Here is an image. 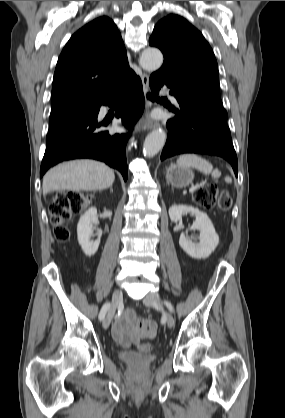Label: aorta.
<instances>
[{
  "label": "aorta",
  "instance_id": "762f6f07",
  "mask_svg": "<svg viewBox=\"0 0 285 418\" xmlns=\"http://www.w3.org/2000/svg\"><path fill=\"white\" fill-rule=\"evenodd\" d=\"M163 63V55L155 48L145 49L140 56V65L147 71L158 70ZM166 133L162 129L151 132L143 144V153L146 157L155 156L164 146Z\"/></svg>",
  "mask_w": 285,
  "mask_h": 418
}]
</instances>
